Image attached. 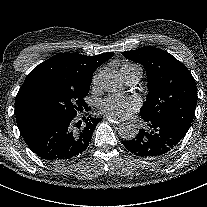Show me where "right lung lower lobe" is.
Instances as JSON below:
<instances>
[{"label": "right lung lower lobe", "mask_w": 207, "mask_h": 207, "mask_svg": "<svg viewBox=\"0 0 207 207\" xmlns=\"http://www.w3.org/2000/svg\"><path fill=\"white\" fill-rule=\"evenodd\" d=\"M56 118L37 121L19 129L28 147L50 163H66L81 156L87 149L101 118ZM79 120V121H78Z\"/></svg>", "instance_id": "right-lung-lower-lobe-1"}]
</instances>
